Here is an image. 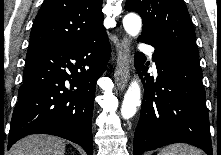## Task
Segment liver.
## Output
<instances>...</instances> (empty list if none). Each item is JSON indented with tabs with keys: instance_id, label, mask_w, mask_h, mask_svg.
Wrapping results in <instances>:
<instances>
[{
	"instance_id": "obj_1",
	"label": "liver",
	"mask_w": 221,
	"mask_h": 155,
	"mask_svg": "<svg viewBox=\"0 0 221 155\" xmlns=\"http://www.w3.org/2000/svg\"><path fill=\"white\" fill-rule=\"evenodd\" d=\"M65 142L55 136L29 135L16 142L10 155H64Z\"/></svg>"
}]
</instances>
